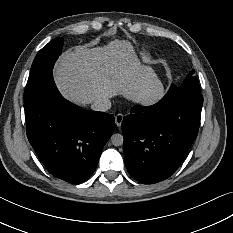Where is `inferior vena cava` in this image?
<instances>
[{
	"mask_svg": "<svg viewBox=\"0 0 233 233\" xmlns=\"http://www.w3.org/2000/svg\"><path fill=\"white\" fill-rule=\"evenodd\" d=\"M110 107H111V100L108 98L98 99L90 105L91 110L99 111V112H105L109 110Z\"/></svg>",
	"mask_w": 233,
	"mask_h": 233,
	"instance_id": "1",
	"label": "inferior vena cava"
}]
</instances>
